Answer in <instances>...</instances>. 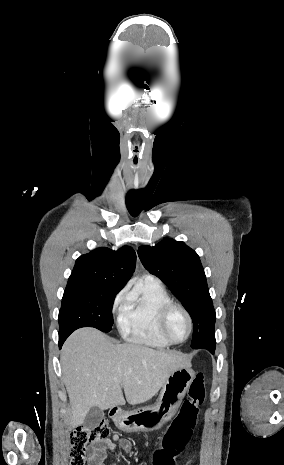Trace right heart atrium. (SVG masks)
I'll return each instance as SVG.
<instances>
[{
	"label": "right heart atrium",
	"mask_w": 284,
	"mask_h": 465,
	"mask_svg": "<svg viewBox=\"0 0 284 465\" xmlns=\"http://www.w3.org/2000/svg\"><path fill=\"white\" fill-rule=\"evenodd\" d=\"M131 297L132 293L128 290L127 287L121 289L112 300V311L118 312L121 309V307L130 300Z\"/></svg>",
	"instance_id": "1"
}]
</instances>
